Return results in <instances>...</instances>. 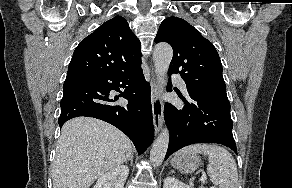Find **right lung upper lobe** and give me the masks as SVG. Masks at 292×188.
<instances>
[{
    "instance_id": "cb5924a9",
    "label": "right lung upper lobe",
    "mask_w": 292,
    "mask_h": 188,
    "mask_svg": "<svg viewBox=\"0 0 292 188\" xmlns=\"http://www.w3.org/2000/svg\"><path fill=\"white\" fill-rule=\"evenodd\" d=\"M139 39L121 16L106 21L74 51L67 76L126 73L140 67Z\"/></svg>"
}]
</instances>
